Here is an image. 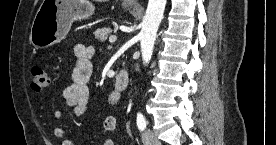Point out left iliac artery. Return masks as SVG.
<instances>
[{
    "mask_svg": "<svg viewBox=\"0 0 276 145\" xmlns=\"http://www.w3.org/2000/svg\"><path fill=\"white\" fill-rule=\"evenodd\" d=\"M137 126L140 131L145 130L147 126V120L145 119L142 113L137 114Z\"/></svg>",
    "mask_w": 276,
    "mask_h": 145,
    "instance_id": "left-iliac-artery-1",
    "label": "left iliac artery"
}]
</instances>
